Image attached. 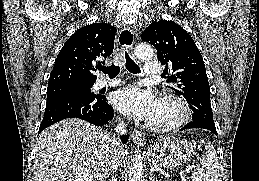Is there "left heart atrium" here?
Returning a JSON list of instances; mask_svg holds the SVG:
<instances>
[{
    "label": "left heart atrium",
    "instance_id": "39dd6f15",
    "mask_svg": "<svg viewBox=\"0 0 259 181\" xmlns=\"http://www.w3.org/2000/svg\"><path fill=\"white\" fill-rule=\"evenodd\" d=\"M111 101L122 114L145 121L152 120L159 103L151 91L144 90L138 85H130L115 91Z\"/></svg>",
    "mask_w": 259,
    "mask_h": 181
}]
</instances>
